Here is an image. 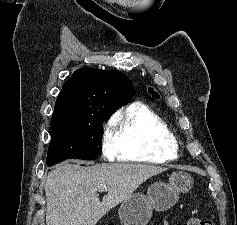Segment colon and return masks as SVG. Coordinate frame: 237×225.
<instances>
[{
  "label": "colon",
  "instance_id": "colon-1",
  "mask_svg": "<svg viewBox=\"0 0 237 225\" xmlns=\"http://www.w3.org/2000/svg\"><path fill=\"white\" fill-rule=\"evenodd\" d=\"M108 225H113V224H108ZM189 225H215V223L208 219L193 217L190 219Z\"/></svg>",
  "mask_w": 237,
  "mask_h": 225
}]
</instances>
